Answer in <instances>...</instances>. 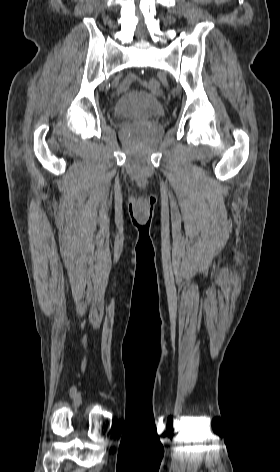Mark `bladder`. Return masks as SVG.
Instances as JSON below:
<instances>
[{
	"label": "bladder",
	"mask_w": 280,
	"mask_h": 472,
	"mask_svg": "<svg viewBox=\"0 0 280 472\" xmlns=\"http://www.w3.org/2000/svg\"><path fill=\"white\" fill-rule=\"evenodd\" d=\"M120 119L148 120L164 116L161 102L144 91H132L121 96L113 108Z\"/></svg>",
	"instance_id": "obj_1"
}]
</instances>
